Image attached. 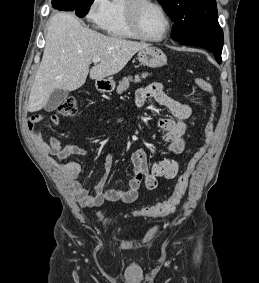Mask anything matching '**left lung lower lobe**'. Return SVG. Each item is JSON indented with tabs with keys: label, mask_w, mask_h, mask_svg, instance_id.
Returning <instances> with one entry per match:
<instances>
[{
	"label": "left lung lower lobe",
	"mask_w": 259,
	"mask_h": 283,
	"mask_svg": "<svg viewBox=\"0 0 259 283\" xmlns=\"http://www.w3.org/2000/svg\"><path fill=\"white\" fill-rule=\"evenodd\" d=\"M180 43L183 45H192L205 48L213 52L217 62L219 64L221 63V53L223 48V31L221 28L210 34L184 40Z\"/></svg>",
	"instance_id": "0a47b994"
}]
</instances>
